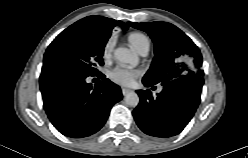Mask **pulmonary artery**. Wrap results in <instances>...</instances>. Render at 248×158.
<instances>
[{
  "mask_svg": "<svg viewBox=\"0 0 248 158\" xmlns=\"http://www.w3.org/2000/svg\"><path fill=\"white\" fill-rule=\"evenodd\" d=\"M149 50H150V43L148 42L139 50V53L141 55H147Z\"/></svg>",
  "mask_w": 248,
  "mask_h": 158,
  "instance_id": "obj_1",
  "label": "pulmonary artery"
}]
</instances>
